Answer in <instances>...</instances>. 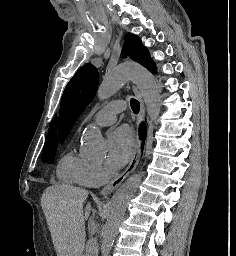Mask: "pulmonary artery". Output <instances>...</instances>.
Wrapping results in <instances>:
<instances>
[{
	"label": "pulmonary artery",
	"mask_w": 236,
	"mask_h": 256,
	"mask_svg": "<svg viewBox=\"0 0 236 256\" xmlns=\"http://www.w3.org/2000/svg\"><path fill=\"white\" fill-rule=\"evenodd\" d=\"M107 105L94 116V123L99 127L114 124L117 120V114L124 110V107L120 106V101H108Z\"/></svg>",
	"instance_id": "pulmonary-artery-1"
}]
</instances>
